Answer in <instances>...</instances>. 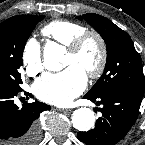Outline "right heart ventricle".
<instances>
[{
	"label": "right heart ventricle",
	"instance_id": "e07e8e85",
	"mask_svg": "<svg viewBox=\"0 0 145 145\" xmlns=\"http://www.w3.org/2000/svg\"><path fill=\"white\" fill-rule=\"evenodd\" d=\"M86 27L80 23L69 20H54L47 23L41 33L61 45L68 46L79 34L86 31Z\"/></svg>",
	"mask_w": 145,
	"mask_h": 145
}]
</instances>
